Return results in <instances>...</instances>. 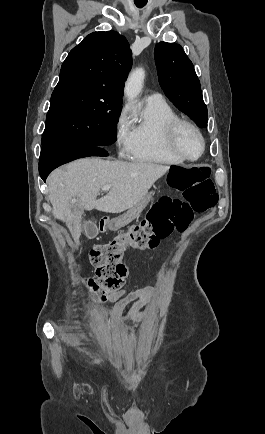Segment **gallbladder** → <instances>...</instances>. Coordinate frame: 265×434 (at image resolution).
<instances>
[{"label":"gallbladder","mask_w":265,"mask_h":434,"mask_svg":"<svg viewBox=\"0 0 265 434\" xmlns=\"http://www.w3.org/2000/svg\"><path fill=\"white\" fill-rule=\"evenodd\" d=\"M84 236L87 239L95 238V236H98V228H97L96 224H94L93 219L87 220V224L85 226Z\"/></svg>","instance_id":"1"}]
</instances>
